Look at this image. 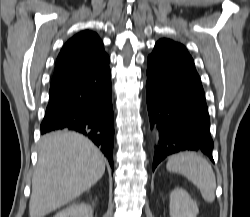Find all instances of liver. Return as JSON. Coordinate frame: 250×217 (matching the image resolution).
<instances>
[{"mask_svg":"<svg viewBox=\"0 0 250 217\" xmlns=\"http://www.w3.org/2000/svg\"><path fill=\"white\" fill-rule=\"evenodd\" d=\"M105 172L96 146L75 132L42 137L32 178L30 217H44L90 189Z\"/></svg>","mask_w":250,"mask_h":217,"instance_id":"obj_1","label":"liver"}]
</instances>
